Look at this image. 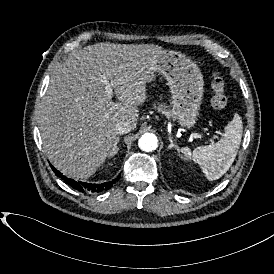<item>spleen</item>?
Returning a JSON list of instances; mask_svg holds the SVG:
<instances>
[{
  "instance_id": "obj_1",
  "label": "spleen",
  "mask_w": 274,
  "mask_h": 274,
  "mask_svg": "<svg viewBox=\"0 0 274 274\" xmlns=\"http://www.w3.org/2000/svg\"><path fill=\"white\" fill-rule=\"evenodd\" d=\"M242 121L238 113L224 128V134L218 142L208 146H199L193 150L182 147L181 152L186 159L192 160L200 167L208 180L220 178L232 165L240 146L242 137Z\"/></svg>"
}]
</instances>
